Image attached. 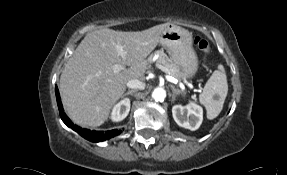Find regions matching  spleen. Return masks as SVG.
Returning <instances> with one entry per match:
<instances>
[{
	"label": "spleen",
	"instance_id": "3e777b00",
	"mask_svg": "<svg viewBox=\"0 0 287 175\" xmlns=\"http://www.w3.org/2000/svg\"><path fill=\"white\" fill-rule=\"evenodd\" d=\"M227 93V76L223 65H219L218 69L213 72L206 82L203 92L199 95V101L206 108L208 119H214L220 114Z\"/></svg>",
	"mask_w": 287,
	"mask_h": 175
}]
</instances>
